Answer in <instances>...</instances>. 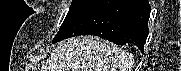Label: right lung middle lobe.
<instances>
[{
  "label": "right lung middle lobe",
  "mask_w": 181,
  "mask_h": 71,
  "mask_svg": "<svg viewBox=\"0 0 181 71\" xmlns=\"http://www.w3.org/2000/svg\"><path fill=\"white\" fill-rule=\"evenodd\" d=\"M93 1L94 0H73L61 27L72 21L81 11H83Z\"/></svg>",
  "instance_id": "1"
}]
</instances>
